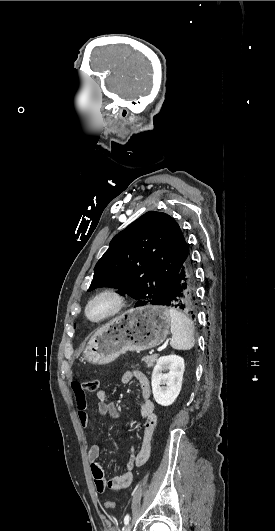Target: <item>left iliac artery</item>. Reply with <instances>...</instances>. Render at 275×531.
Returning a JSON list of instances; mask_svg holds the SVG:
<instances>
[{
	"instance_id": "1",
	"label": "left iliac artery",
	"mask_w": 275,
	"mask_h": 531,
	"mask_svg": "<svg viewBox=\"0 0 275 531\" xmlns=\"http://www.w3.org/2000/svg\"><path fill=\"white\" fill-rule=\"evenodd\" d=\"M130 517L129 514H127L124 518V524L127 525L129 523Z\"/></svg>"
}]
</instances>
